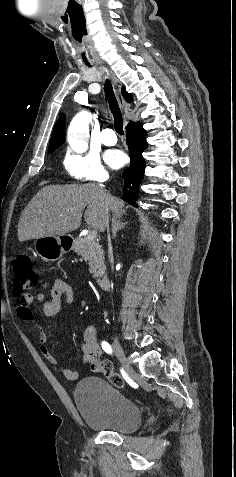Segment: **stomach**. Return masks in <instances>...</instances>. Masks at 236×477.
<instances>
[{"label":"stomach","mask_w":236,"mask_h":477,"mask_svg":"<svg viewBox=\"0 0 236 477\" xmlns=\"http://www.w3.org/2000/svg\"><path fill=\"white\" fill-rule=\"evenodd\" d=\"M64 239L62 236L37 238L34 244L35 251L45 261H56L70 249L69 240L65 242Z\"/></svg>","instance_id":"stomach-1"}]
</instances>
